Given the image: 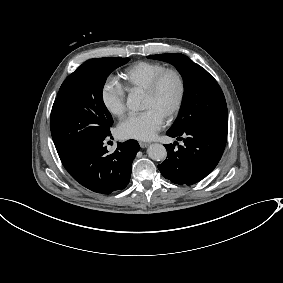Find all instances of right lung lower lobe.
Here are the masks:
<instances>
[{"label": "right lung lower lobe", "mask_w": 283, "mask_h": 283, "mask_svg": "<svg viewBox=\"0 0 283 283\" xmlns=\"http://www.w3.org/2000/svg\"><path fill=\"white\" fill-rule=\"evenodd\" d=\"M111 133L108 135L110 136ZM97 137L61 159L70 175L91 191L110 194L124 189L130 180L131 165L140 146L135 140L118 143L109 154L104 140Z\"/></svg>", "instance_id": "1"}]
</instances>
